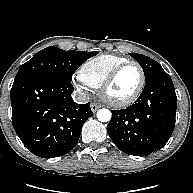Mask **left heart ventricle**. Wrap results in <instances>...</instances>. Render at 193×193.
Returning <instances> with one entry per match:
<instances>
[{
  "instance_id": "left-heart-ventricle-1",
  "label": "left heart ventricle",
  "mask_w": 193,
  "mask_h": 193,
  "mask_svg": "<svg viewBox=\"0 0 193 193\" xmlns=\"http://www.w3.org/2000/svg\"><path fill=\"white\" fill-rule=\"evenodd\" d=\"M140 82L137 67L129 66L122 70L108 90V95L116 100L129 97L136 90Z\"/></svg>"
}]
</instances>
